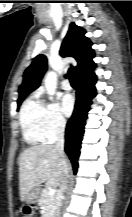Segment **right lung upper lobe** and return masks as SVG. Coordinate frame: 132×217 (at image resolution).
<instances>
[{
    "instance_id": "right-lung-upper-lobe-1",
    "label": "right lung upper lobe",
    "mask_w": 132,
    "mask_h": 217,
    "mask_svg": "<svg viewBox=\"0 0 132 217\" xmlns=\"http://www.w3.org/2000/svg\"><path fill=\"white\" fill-rule=\"evenodd\" d=\"M85 30L71 23L69 31L62 43L60 54L63 57H73L78 65L73 67V72L78 81L95 77L93 62L94 51L92 43L84 36ZM47 70V59L44 55H38L24 73L23 83L19 88V99H24L29 93L39 87L40 81ZM18 99V100H19Z\"/></svg>"
}]
</instances>
